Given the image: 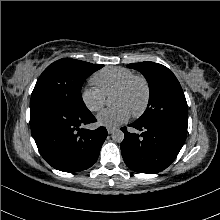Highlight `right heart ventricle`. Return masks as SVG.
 <instances>
[{
  "label": "right heart ventricle",
  "instance_id": "1",
  "mask_svg": "<svg viewBox=\"0 0 220 220\" xmlns=\"http://www.w3.org/2000/svg\"><path fill=\"white\" fill-rule=\"evenodd\" d=\"M134 72L124 67H106L98 71L92 77V82L105 96H110L129 78Z\"/></svg>",
  "mask_w": 220,
  "mask_h": 220
}]
</instances>
